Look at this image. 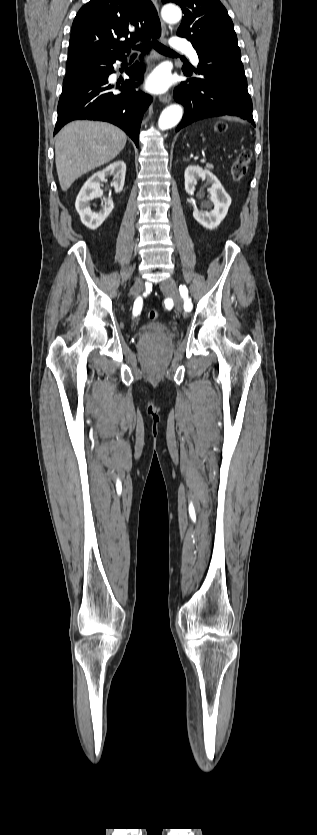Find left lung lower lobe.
Wrapping results in <instances>:
<instances>
[{
	"label": "left lung lower lobe",
	"mask_w": 317,
	"mask_h": 835,
	"mask_svg": "<svg viewBox=\"0 0 317 835\" xmlns=\"http://www.w3.org/2000/svg\"><path fill=\"white\" fill-rule=\"evenodd\" d=\"M194 48L199 56L198 68L183 67V72L185 76H195L174 90L175 100L185 107V116L176 131L197 120L222 115L238 116L255 127L241 54Z\"/></svg>",
	"instance_id": "obj_1"
}]
</instances>
